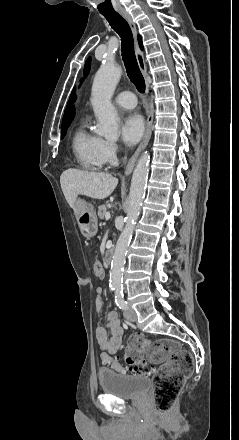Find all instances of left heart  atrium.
<instances>
[{"label": "left heart atrium", "mask_w": 239, "mask_h": 440, "mask_svg": "<svg viewBox=\"0 0 239 440\" xmlns=\"http://www.w3.org/2000/svg\"><path fill=\"white\" fill-rule=\"evenodd\" d=\"M144 123L138 113L130 112L122 116L119 124V131L122 140L127 145H133L142 136Z\"/></svg>", "instance_id": "obj_1"}]
</instances>
